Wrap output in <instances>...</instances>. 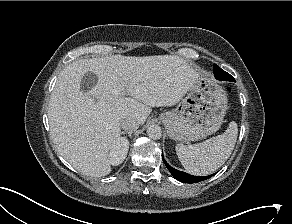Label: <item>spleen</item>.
Wrapping results in <instances>:
<instances>
[{
	"mask_svg": "<svg viewBox=\"0 0 292 224\" xmlns=\"http://www.w3.org/2000/svg\"><path fill=\"white\" fill-rule=\"evenodd\" d=\"M238 135L237 123L230 122L226 131L194 145L177 144L175 149L184 169L197 176L215 172L231 155Z\"/></svg>",
	"mask_w": 292,
	"mask_h": 224,
	"instance_id": "spleen-1",
	"label": "spleen"
}]
</instances>
